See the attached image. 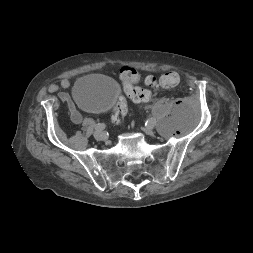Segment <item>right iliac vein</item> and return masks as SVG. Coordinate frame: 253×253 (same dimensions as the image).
Segmentation results:
<instances>
[{"label":"right iliac vein","instance_id":"63e3f726","mask_svg":"<svg viewBox=\"0 0 253 253\" xmlns=\"http://www.w3.org/2000/svg\"><path fill=\"white\" fill-rule=\"evenodd\" d=\"M94 137L97 139V140H106V134L102 131H95L94 133Z\"/></svg>","mask_w":253,"mask_h":253}]
</instances>
